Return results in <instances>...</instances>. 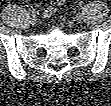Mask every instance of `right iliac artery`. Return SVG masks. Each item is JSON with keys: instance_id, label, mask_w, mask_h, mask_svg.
Instances as JSON below:
<instances>
[{"instance_id": "82829eb1", "label": "right iliac artery", "mask_w": 111, "mask_h": 106, "mask_svg": "<svg viewBox=\"0 0 111 106\" xmlns=\"http://www.w3.org/2000/svg\"><path fill=\"white\" fill-rule=\"evenodd\" d=\"M30 12L34 14V13H36V9L35 8H30Z\"/></svg>"}]
</instances>
